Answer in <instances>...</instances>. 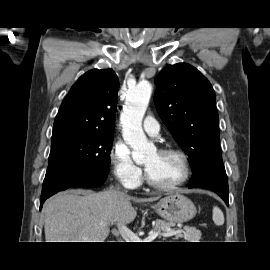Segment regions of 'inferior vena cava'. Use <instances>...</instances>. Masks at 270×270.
Wrapping results in <instances>:
<instances>
[{"mask_svg": "<svg viewBox=\"0 0 270 270\" xmlns=\"http://www.w3.org/2000/svg\"><path fill=\"white\" fill-rule=\"evenodd\" d=\"M118 189H119V188H118ZM121 193L124 194V195H126V192H125V191H122Z\"/></svg>", "mask_w": 270, "mask_h": 270, "instance_id": "602c4592", "label": "inferior vena cava"}]
</instances>
